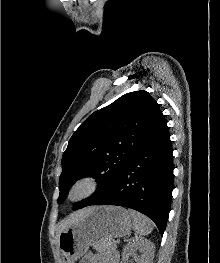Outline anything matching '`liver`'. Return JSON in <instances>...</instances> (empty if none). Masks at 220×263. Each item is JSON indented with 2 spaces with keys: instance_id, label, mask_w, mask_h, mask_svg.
Segmentation results:
<instances>
[{
  "instance_id": "1",
  "label": "liver",
  "mask_w": 220,
  "mask_h": 263,
  "mask_svg": "<svg viewBox=\"0 0 220 263\" xmlns=\"http://www.w3.org/2000/svg\"><path fill=\"white\" fill-rule=\"evenodd\" d=\"M93 207L90 208H85L82 210H79L77 212L72 213L65 219H63L59 224H58V230H57V240L59 238L60 233L65 230L66 228L72 226L74 223L79 221L85 214H87Z\"/></svg>"
}]
</instances>
